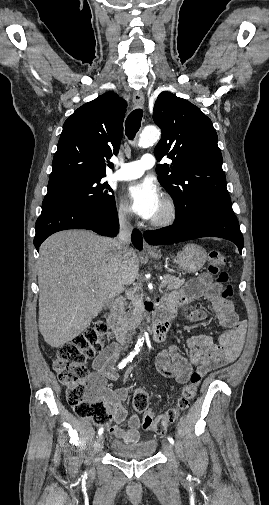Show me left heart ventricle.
I'll return each mask as SVG.
<instances>
[{
	"instance_id": "1",
	"label": "left heart ventricle",
	"mask_w": 269,
	"mask_h": 505,
	"mask_svg": "<svg viewBox=\"0 0 269 505\" xmlns=\"http://www.w3.org/2000/svg\"><path fill=\"white\" fill-rule=\"evenodd\" d=\"M163 213H164V206L161 203L160 207L158 208L157 212L155 213L152 219L160 217Z\"/></svg>"
}]
</instances>
